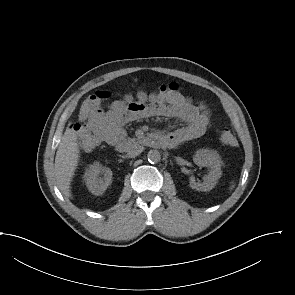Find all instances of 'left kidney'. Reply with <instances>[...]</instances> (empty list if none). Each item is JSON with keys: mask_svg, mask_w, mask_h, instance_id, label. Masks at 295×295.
<instances>
[{"mask_svg": "<svg viewBox=\"0 0 295 295\" xmlns=\"http://www.w3.org/2000/svg\"><path fill=\"white\" fill-rule=\"evenodd\" d=\"M193 161L198 166L208 167L210 171L208 175L204 176L202 183H198L194 177H190V187L198 191L212 190L222 175V162L218 153L214 150L200 149L196 152Z\"/></svg>", "mask_w": 295, "mask_h": 295, "instance_id": "5707ae66", "label": "left kidney"}]
</instances>
